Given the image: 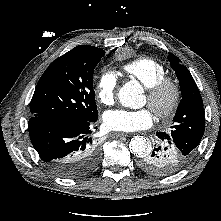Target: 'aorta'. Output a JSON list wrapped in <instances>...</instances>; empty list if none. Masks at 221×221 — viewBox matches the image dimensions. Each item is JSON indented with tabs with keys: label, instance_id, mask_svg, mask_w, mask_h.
I'll use <instances>...</instances> for the list:
<instances>
[{
	"label": "aorta",
	"instance_id": "1",
	"mask_svg": "<svg viewBox=\"0 0 221 221\" xmlns=\"http://www.w3.org/2000/svg\"><path fill=\"white\" fill-rule=\"evenodd\" d=\"M143 89L135 81L126 83L118 92L120 103L129 108H139L143 105ZM132 154L141 157L151 151V144L143 136H135L129 143Z\"/></svg>",
	"mask_w": 221,
	"mask_h": 221
}]
</instances>
